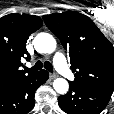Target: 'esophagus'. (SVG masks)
<instances>
[{
	"label": "esophagus",
	"instance_id": "1",
	"mask_svg": "<svg viewBox=\"0 0 114 114\" xmlns=\"http://www.w3.org/2000/svg\"><path fill=\"white\" fill-rule=\"evenodd\" d=\"M49 76H50V78H51V79H54V78H56V77H57V75H56V74H54V73H50V75H49Z\"/></svg>",
	"mask_w": 114,
	"mask_h": 114
}]
</instances>
